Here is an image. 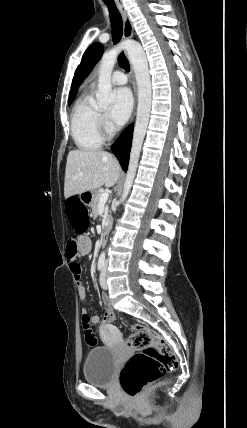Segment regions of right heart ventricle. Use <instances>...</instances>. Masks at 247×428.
<instances>
[{
  "instance_id": "e07e8e85",
  "label": "right heart ventricle",
  "mask_w": 247,
  "mask_h": 428,
  "mask_svg": "<svg viewBox=\"0 0 247 428\" xmlns=\"http://www.w3.org/2000/svg\"><path fill=\"white\" fill-rule=\"evenodd\" d=\"M71 132L76 146L81 150H96L103 144L100 114L88 93L83 94L74 105Z\"/></svg>"
}]
</instances>
